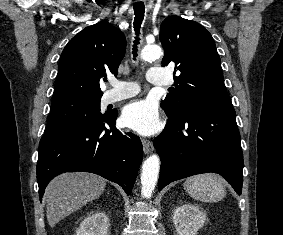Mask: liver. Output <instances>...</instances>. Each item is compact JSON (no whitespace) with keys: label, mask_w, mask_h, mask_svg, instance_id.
Listing matches in <instances>:
<instances>
[{"label":"liver","mask_w":283,"mask_h":235,"mask_svg":"<svg viewBox=\"0 0 283 235\" xmlns=\"http://www.w3.org/2000/svg\"><path fill=\"white\" fill-rule=\"evenodd\" d=\"M105 187L104 178L86 172L66 173L54 178L45 193L46 216L50 227L98 198Z\"/></svg>","instance_id":"obj_1"}]
</instances>
